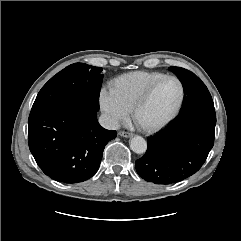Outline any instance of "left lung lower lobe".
I'll list each match as a JSON object with an SVG mask.
<instances>
[{"mask_svg":"<svg viewBox=\"0 0 241 241\" xmlns=\"http://www.w3.org/2000/svg\"><path fill=\"white\" fill-rule=\"evenodd\" d=\"M214 105L181 112L163 131L148 138L145 155L136 160L138 174L148 182L170 184L196 173L214 145Z\"/></svg>","mask_w":241,"mask_h":241,"instance_id":"left-lung-lower-lobe-1","label":"left lung lower lobe"}]
</instances>
